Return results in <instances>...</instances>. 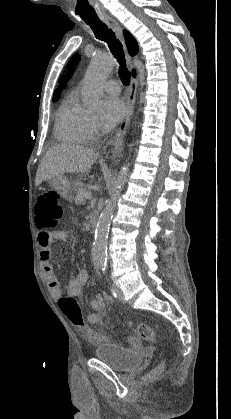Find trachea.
I'll return each instance as SVG.
<instances>
[{
    "label": "trachea",
    "mask_w": 231,
    "mask_h": 419,
    "mask_svg": "<svg viewBox=\"0 0 231 419\" xmlns=\"http://www.w3.org/2000/svg\"><path fill=\"white\" fill-rule=\"evenodd\" d=\"M94 32L97 39L105 41L114 57L120 64L119 76L124 85L128 86L130 83V72L126 67L125 54L121 42L116 39L114 32L108 29V26L101 21L87 22Z\"/></svg>",
    "instance_id": "1"
}]
</instances>
